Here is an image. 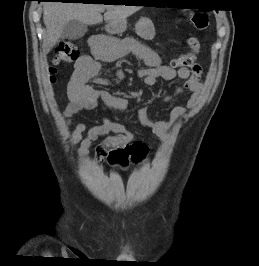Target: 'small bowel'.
Returning a JSON list of instances; mask_svg holds the SVG:
<instances>
[{"mask_svg":"<svg viewBox=\"0 0 259 266\" xmlns=\"http://www.w3.org/2000/svg\"><path fill=\"white\" fill-rule=\"evenodd\" d=\"M91 54L83 55L75 63L72 78L68 84V97L70 102L64 110V116L71 122V118L82 110H91L102 102L106 108L114 111H123L127 108L128 102L119 96L107 91L94 89L89 82L95 79L99 73L101 61L112 60L122 57L128 53L135 55L144 65L138 71V76L142 78L148 86L154 85L158 79L165 81L179 77L184 83L179 86L171 95L163 98L168 102L183 92H189L190 98L186 106H175L170 113L169 120H154L146 108H141L138 112L140 121L144 127L151 130L161 141H167L172 125L183 117L188 109L196 106L202 91V69L198 64L191 68L173 69L164 65L160 56L149 47L139 43L132 38L115 39L109 36H95L91 39ZM119 78L122 73H118ZM101 83H103L101 81ZM86 132V136L83 134ZM105 136L104 140L95 148V160L98 163L109 160L110 154L118 149H122L136 141V133L123 125H120L108 118H103L102 123L87 129L84 123L77 124L73 134L72 143L79 144V156L82 160H87L89 150L93 142Z\"/></svg>","mask_w":259,"mask_h":266,"instance_id":"1","label":"small bowel"}]
</instances>
